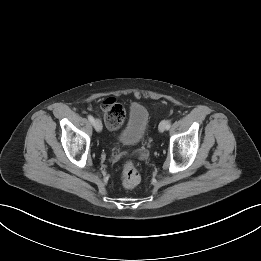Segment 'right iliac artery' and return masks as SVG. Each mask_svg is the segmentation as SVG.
Listing matches in <instances>:
<instances>
[{
	"mask_svg": "<svg viewBox=\"0 0 261 261\" xmlns=\"http://www.w3.org/2000/svg\"><path fill=\"white\" fill-rule=\"evenodd\" d=\"M88 120L94 125V118L91 115H88Z\"/></svg>",
	"mask_w": 261,
	"mask_h": 261,
	"instance_id": "right-iliac-artery-1",
	"label": "right iliac artery"
}]
</instances>
